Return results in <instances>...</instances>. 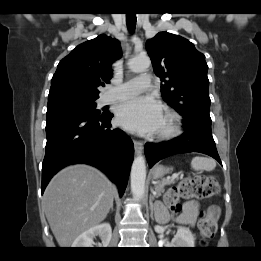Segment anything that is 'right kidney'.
I'll return each instance as SVG.
<instances>
[{
	"mask_svg": "<svg viewBox=\"0 0 261 261\" xmlns=\"http://www.w3.org/2000/svg\"><path fill=\"white\" fill-rule=\"evenodd\" d=\"M99 236L101 239L100 247H107L112 237V229L109 223H102L93 226L80 234L73 242V248H89L92 247L93 238Z\"/></svg>",
	"mask_w": 261,
	"mask_h": 261,
	"instance_id": "right-kidney-1",
	"label": "right kidney"
}]
</instances>
